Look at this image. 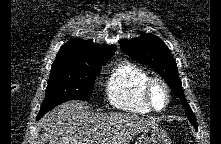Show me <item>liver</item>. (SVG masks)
<instances>
[{
    "mask_svg": "<svg viewBox=\"0 0 221 144\" xmlns=\"http://www.w3.org/2000/svg\"><path fill=\"white\" fill-rule=\"evenodd\" d=\"M39 124L40 144H129L140 132L158 126L153 119L132 113H94L80 101L59 105Z\"/></svg>",
    "mask_w": 221,
    "mask_h": 144,
    "instance_id": "6515ba94",
    "label": "liver"
}]
</instances>
